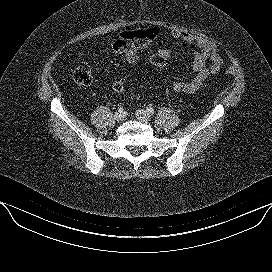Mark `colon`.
<instances>
[{
  "label": "colon",
  "mask_w": 272,
  "mask_h": 272,
  "mask_svg": "<svg viewBox=\"0 0 272 272\" xmlns=\"http://www.w3.org/2000/svg\"><path fill=\"white\" fill-rule=\"evenodd\" d=\"M158 31L155 28L149 29H139L134 31V37L140 41V43L147 47L150 42L156 37ZM168 58L161 53L153 54L149 62L157 69H164L167 66ZM227 74L233 75L234 69L229 68L227 69ZM74 81L79 85H88L92 82V70L89 64L81 63L79 64L74 72H73ZM125 89L124 82L121 80H117L113 83V90L117 93L123 92Z\"/></svg>",
  "instance_id": "colon-1"
}]
</instances>
